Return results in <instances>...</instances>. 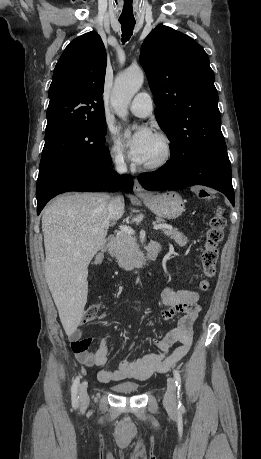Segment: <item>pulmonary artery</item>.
I'll use <instances>...</instances> for the list:
<instances>
[{"label":"pulmonary artery","mask_w":261,"mask_h":459,"mask_svg":"<svg viewBox=\"0 0 261 459\" xmlns=\"http://www.w3.org/2000/svg\"><path fill=\"white\" fill-rule=\"evenodd\" d=\"M130 111L139 117H146L153 111V101L147 92L138 93L129 105Z\"/></svg>","instance_id":"e3ab8cb5"}]
</instances>
